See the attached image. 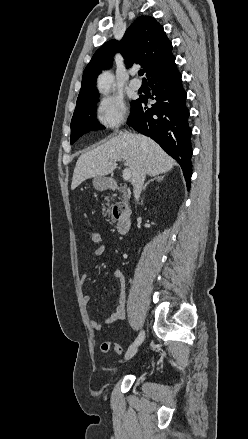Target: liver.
<instances>
[{
  "label": "liver",
  "instance_id": "liver-1",
  "mask_svg": "<svg viewBox=\"0 0 248 439\" xmlns=\"http://www.w3.org/2000/svg\"><path fill=\"white\" fill-rule=\"evenodd\" d=\"M124 159L131 170V182L144 168L149 176L170 171L176 162L152 139L129 131H120L102 145L80 155L74 168L71 189L86 179L112 173L116 161Z\"/></svg>",
  "mask_w": 248,
  "mask_h": 439
}]
</instances>
